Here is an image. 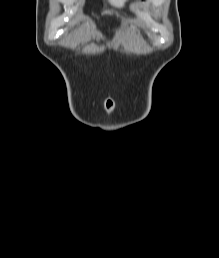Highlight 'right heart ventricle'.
Masks as SVG:
<instances>
[{"instance_id": "e07e8e85", "label": "right heart ventricle", "mask_w": 219, "mask_h": 258, "mask_svg": "<svg viewBox=\"0 0 219 258\" xmlns=\"http://www.w3.org/2000/svg\"><path fill=\"white\" fill-rule=\"evenodd\" d=\"M108 1H109V3H110L113 7L117 8V9H123V8H125V7L128 5V3H129V0H108Z\"/></svg>"}]
</instances>
